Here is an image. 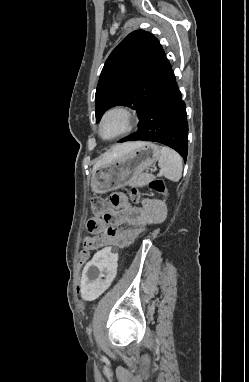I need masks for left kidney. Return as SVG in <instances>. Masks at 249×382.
I'll return each mask as SVG.
<instances>
[{
  "mask_svg": "<svg viewBox=\"0 0 249 382\" xmlns=\"http://www.w3.org/2000/svg\"><path fill=\"white\" fill-rule=\"evenodd\" d=\"M118 262V255L112 245H105L104 250H96L79 278L80 287L76 294L78 300L96 302L100 293H106V289L112 287L115 277L119 276Z\"/></svg>",
  "mask_w": 249,
  "mask_h": 382,
  "instance_id": "left-kidney-1",
  "label": "left kidney"
}]
</instances>
